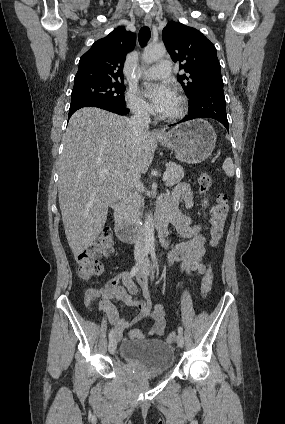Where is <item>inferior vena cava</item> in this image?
I'll return each mask as SVG.
<instances>
[{
  "mask_svg": "<svg viewBox=\"0 0 285 424\" xmlns=\"http://www.w3.org/2000/svg\"><path fill=\"white\" fill-rule=\"evenodd\" d=\"M133 115L129 119V124L133 130V137L136 139L139 135H141L144 131H146L149 127V123L151 122L150 117L148 115L147 110L138 105L132 108ZM140 176L137 177L135 182V187L140 188L141 182L139 180ZM144 244L141 241V237H138L135 243L134 255L138 260H144Z\"/></svg>",
  "mask_w": 285,
  "mask_h": 424,
  "instance_id": "602c4592",
  "label": "inferior vena cava"
}]
</instances>
